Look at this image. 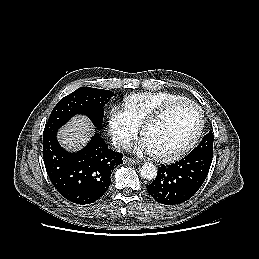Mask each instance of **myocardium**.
Here are the masks:
<instances>
[{
  "label": "myocardium",
  "mask_w": 259,
  "mask_h": 259,
  "mask_svg": "<svg viewBox=\"0 0 259 259\" xmlns=\"http://www.w3.org/2000/svg\"><path fill=\"white\" fill-rule=\"evenodd\" d=\"M180 105H191L197 109V111L199 113L198 127H197L196 131L194 132V134L192 135V137L187 142H185L182 146L177 148L176 150L168 152V153H163V154L153 153V156L157 160L169 162V161H173V160L180 158L181 156L186 154L189 150H191L195 146V144L198 142L199 138L202 135V132H203V129L205 126L204 111L198 103L186 98V99H181V100L170 102V103L164 105L163 107H161L159 110H157L151 116H149L140 126L141 136H143L147 127L158 122L164 116H166L171 110H173L174 108H176Z\"/></svg>",
  "instance_id": "f54148a6"
}]
</instances>
